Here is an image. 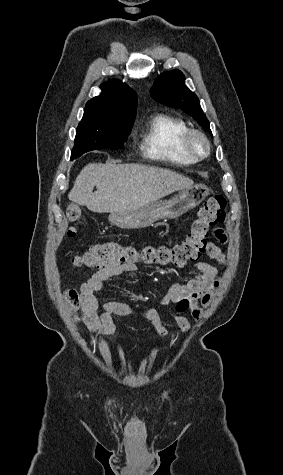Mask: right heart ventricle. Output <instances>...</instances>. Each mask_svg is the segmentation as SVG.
<instances>
[{
    "label": "right heart ventricle",
    "instance_id": "right-heart-ventricle-1",
    "mask_svg": "<svg viewBox=\"0 0 283 475\" xmlns=\"http://www.w3.org/2000/svg\"><path fill=\"white\" fill-rule=\"evenodd\" d=\"M188 129L189 126L183 118L159 112L140 123L136 127V134L140 139L142 151L149 158L168 161L161 156L163 147L167 145L170 151L178 155L177 162H199L174 148Z\"/></svg>",
    "mask_w": 283,
    "mask_h": 475
}]
</instances>
